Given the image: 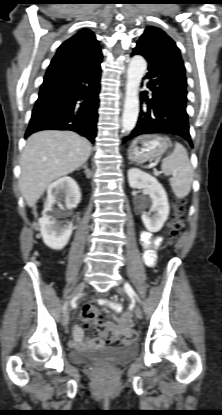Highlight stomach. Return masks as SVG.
I'll return each mask as SVG.
<instances>
[{
	"mask_svg": "<svg viewBox=\"0 0 222 415\" xmlns=\"http://www.w3.org/2000/svg\"><path fill=\"white\" fill-rule=\"evenodd\" d=\"M171 146L168 137L152 134L134 139L128 149V158L135 163H144L163 155Z\"/></svg>",
	"mask_w": 222,
	"mask_h": 415,
	"instance_id": "stomach-1",
	"label": "stomach"
}]
</instances>
